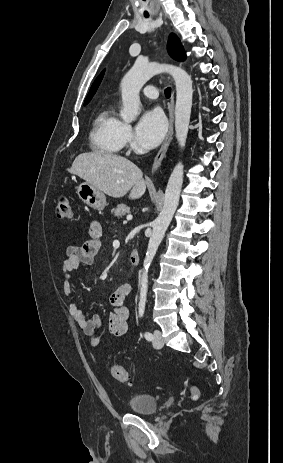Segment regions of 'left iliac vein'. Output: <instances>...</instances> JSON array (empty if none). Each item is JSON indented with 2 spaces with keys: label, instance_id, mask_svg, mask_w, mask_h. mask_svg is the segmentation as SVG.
I'll list each match as a JSON object with an SVG mask.
<instances>
[{
  "label": "left iliac vein",
  "instance_id": "1",
  "mask_svg": "<svg viewBox=\"0 0 283 463\" xmlns=\"http://www.w3.org/2000/svg\"><path fill=\"white\" fill-rule=\"evenodd\" d=\"M163 345L164 340L162 338L161 332L159 330H154L153 346L155 348H162Z\"/></svg>",
  "mask_w": 283,
  "mask_h": 463
}]
</instances>
